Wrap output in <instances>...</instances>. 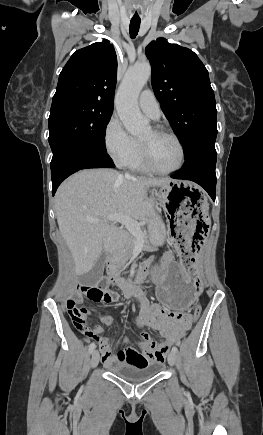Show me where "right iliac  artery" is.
<instances>
[{
    "instance_id": "1",
    "label": "right iliac artery",
    "mask_w": 263,
    "mask_h": 435,
    "mask_svg": "<svg viewBox=\"0 0 263 435\" xmlns=\"http://www.w3.org/2000/svg\"><path fill=\"white\" fill-rule=\"evenodd\" d=\"M96 348V345L94 342H92L89 346V353H92L94 351V349Z\"/></svg>"
}]
</instances>
